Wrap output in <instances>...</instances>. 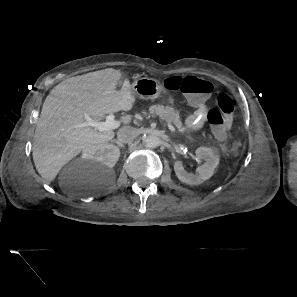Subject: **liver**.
Segmentation results:
<instances>
[{
	"mask_svg": "<svg viewBox=\"0 0 297 297\" xmlns=\"http://www.w3.org/2000/svg\"><path fill=\"white\" fill-rule=\"evenodd\" d=\"M121 77L120 70L107 68L66 79L51 90L43 103L32 146L36 170L46 182L53 181L61 168L86 148L114 138L113 130L99 132L83 126L84 113L100 120L106 114L131 110L135 96L129 80L116 90ZM131 119L125 115L120 122L129 125Z\"/></svg>",
	"mask_w": 297,
	"mask_h": 297,
	"instance_id": "1",
	"label": "liver"
}]
</instances>
